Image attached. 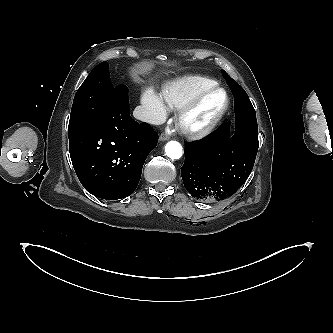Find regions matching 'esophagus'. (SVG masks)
Wrapping results in <instances>:
<instances>
[{"mask_svg":"<svg viewBox=\"0 0 333 333\" xmlns=\"http://www.w3.org/2000/svg\"><path fill=\"white\" fill-rule=\"evenodd\" d=\"M169 136L167 135V134H165V133H162L160 136H159V140L160 141H167V140H169Z\"/></svg>","mask_w":333,"mask_h":333,"instance_id":"34e87169","label":"esophagus"}]
</instances>
